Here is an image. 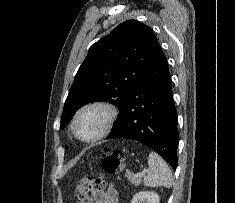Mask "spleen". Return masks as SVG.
I'll return each instance as SVG.
<instances>
[{
  "instance_id": "1",
  "label": "spleen",
  "mask_w": 235,
  "mask_h": 203,
  "mask_svg": "<svg viewBox=\"0 0 235 203\" xmlns=\"http://www.w3.org/2000/svg\"><path fill=\"white\" fill-rule=\"evenodd\" d=\"M148 173L144 177V184L147 187L163 186L170 188L173 184L171 170L168 164L155 152L148 156Z\"/></svg>"
}]
</instances>
